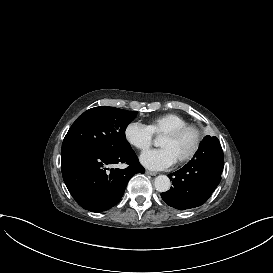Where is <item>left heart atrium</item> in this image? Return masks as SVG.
<instances>
[{"mask_svg": "<svg viewBox=\"0 0 273 273\" xmlns=\"http://www.w3.org/2000/svg\"><path fill=\"white\" fill-rule=\"evenodd\" d=\"M140 161L148 169H163L173 165L176 160L167 148L161 147L144 151Z\"/></svg>", "mask_w": 273, "mask_h": 273, "instance_id": "1", "label": "left heart atrium"}]
</instances>
